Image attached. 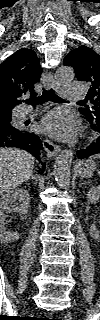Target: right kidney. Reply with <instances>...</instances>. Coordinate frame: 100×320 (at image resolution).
<instances>
[{"label":"right kidney","mask_w":100,"mask_h":320,"mask_svg":"<svg viewBox=\"0 0 100 320\" xmlns=\"http://www.w3.org/2000/svg\"><path fill=\"white\" fill-rule=\"evenodd\" d=\"M18 200V203H13ZM30 205V196L27 190L18 188L7 191L0 198V240L2 243H10L18 240L20 235L7 230L8 213L16 212L19 215L27 214Z\"/></svg>","instance_id":"right-kidney-1"}]
</instances>
